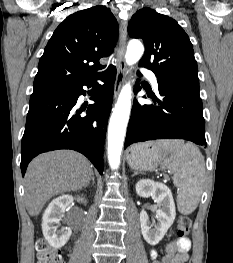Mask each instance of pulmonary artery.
<instances>
[{"mask_svg":"<svg viewBox=\"0 0 233 263\" xmlns=\"http://www.w3.org/2000/svg\"><path fill=\"white\" fill-rule=\"evenodd\" d=\"M142 73L149 79L153 88L155 90H158V81H157V77H156L155 73L149 69H146V68L142 69Z\"/></svg>","mask_w":233,"mask_h":263,"instance_id":"e3ab8cb5","label":"pulmonary artery"}]
</instances>
